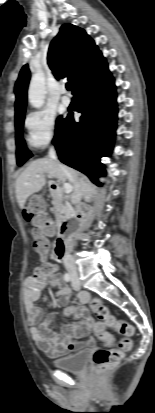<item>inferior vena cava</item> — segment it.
Here are the masks:
<instances>
[{
	"label": "inferior vena cava",
	"mask_w": 155,
	"mask_h": 413,
	"mask_svg": "<svg viewBox=\"0 0 155 413\" xmlns=\"http://www.w3.org/2000/svg\"><path fill=\"white\" fill-rule=\"evenodd\" d=\"M48 158L58 167L59 171L67 177V179L72 182L74 184V191L71 197V202L73 204H80V200H81V196H82V191H81V187L80 185L74 180L71 171L64 166L63 164H61L59 162V160L57 159V155H56V150L54 148V146H51L49 148V152H48ZM63 262L64 265L66 267V269L72 273V274H76L77 273V267L75 265V261L73 259V257L69 254L66 253L64 255L63 258Z\"/></svg>",
	"instance_id": "inferior-vena-cava-1"
}]
</instances>
